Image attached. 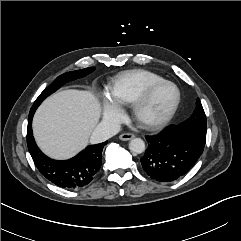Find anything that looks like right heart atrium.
Here are the masks:
<instances>
[{"label":"right heart atrium","mask_w":241,"mask_h":241,"mask_svg":"<svg viewBox=\"0 0 241 241\" xmlns=\"http://www.w3.org/2000/svg\"><path fill=\"white\" fill-rule=\"evenodd\" d=\"M104 99L106 102L105 117L114 122L119 121L123 116L121 107L113 101L111 93L107 91L104 93Z\"/></svg>","instance_id":"right-heart-atrium-1"}]
</instances>
